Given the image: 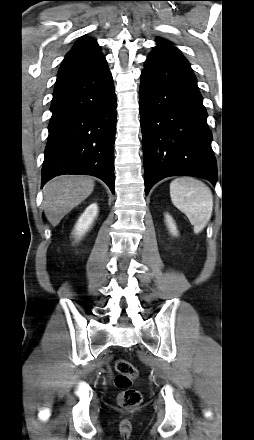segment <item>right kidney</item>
Returning <instances> with one entry per match:
<instances>
[{
    "label": "right kidney",
    "instance_id": "ca27d5eb",
    "mask_svg": "<svg viewBox=\"0 0 254 440\" xmlns=\"http://www.w3.org/2000/svg\"><path fill=\"white\" fill-rule=\"evenodd\" d=\"M98 215V206L96 203H93L89 205L84 213L79 217L75 229H74V235L78 238H80L82 235H84L92 226L94 219Z\"/></svg>",
    "mask_w": 254,
    "mask_h": 440
}]
</instances>
